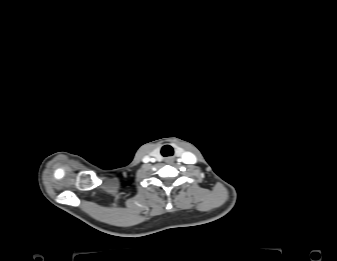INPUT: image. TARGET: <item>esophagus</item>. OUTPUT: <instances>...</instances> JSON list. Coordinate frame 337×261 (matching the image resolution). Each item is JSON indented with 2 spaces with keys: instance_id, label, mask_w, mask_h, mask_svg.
I'll list each match as a JSON object with an SVG mask.
<instances>
[{
  "instance_id": "esophagus-1",
  "label": "esophagus",
  "mask_w": 337,
  "mask_h": 261,
  "mask_svg": "<svg viewBox=\"0 0 337 261\" xmlns=\"http://www.w3.org/2000/svg\"><path fill=\"white\" fill-rule=\"evenodd\" d=\"M170 160H171V159H170V158H168V159H167V162H169Z\"/></svg>"
}]
</instances>
